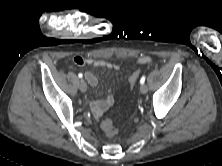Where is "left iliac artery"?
I'll list each match as a JSON object with an SVG mask.
<instances>
[{
	"label": "left iliac artery",
	"instance_id": "1",
	"mask_svg": "<svg viewBox=\"0 0 222 166\" xmlns=\"http://www.w3.org/2000/svg\"><path fill=\"white\" fill-rule=\"evenodd\" d=\"M144 82H145V76H142L140 79V84H144Z\"/></svg>",
	"mask_w": 222,
	"mask_h": 166
}]
</instances>
